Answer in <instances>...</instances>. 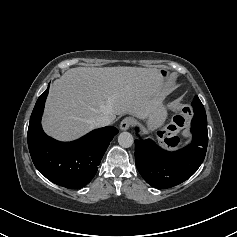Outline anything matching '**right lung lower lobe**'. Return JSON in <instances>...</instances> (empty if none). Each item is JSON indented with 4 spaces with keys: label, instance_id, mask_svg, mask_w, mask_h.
<instances>
[{
    "label": "right lung lower lobe",
    "instance_id": "right-lung-lower-lobe-1",
    "mask_svg": "<svg viewBox=\"0 0 237 237\" xmlns=\"http://www.w3.org/2000/svg\"><path fill=\"white\" fill-rule=\"evenodd\" d=\"M49 86L38 98L30 117L28 147L36 168L51 182L71 189L88 184L111 141L118 133L107 126L91 131L73 142H59L47 136L41 127V116Z\"/></svg>",
    "mask_w": 237,
    "mask_h": 237
}]
</instances>
